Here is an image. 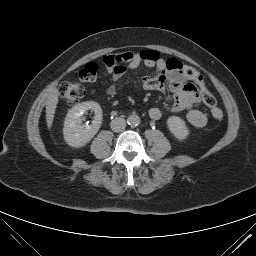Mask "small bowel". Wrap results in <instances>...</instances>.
Here are the masks:
<instances>
[{"label":"small bowel","mask_w":256,"mask_h":256,"mask_svg":"<svg viewBox=\"0 0 256 256\" xmlns=\"http://www.w3.org/2000/svg\"><path fill=\"white\" fill-rule=\"evenodd\" d=\"M144 52L118 54L122 59L121 64L114 70H107L111 77V83L106 90L107 94H115V83L128 71L145 65L152 72L142 78L143 89L159 92L169 90L174 97L172 112L186 111V118L191 125L195 127L205 126L208 118L198 109L201 99L195 85L182 72L184 65L175 58L151 60L144 57ZM148 114L152 120H158L162 116L161 110L157 107L150 108Z\"/></svg>","instance_id":"obj_1"}]
</instances>
